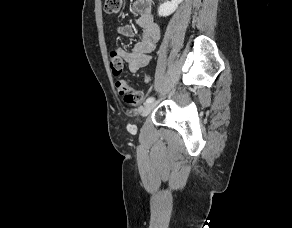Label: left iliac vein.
Here are the masks:
<instances>
[{
    "label": "left iliac vein",
    "instance_id": "4c4485c4",
    "mask_svg": "<svg viewBox=\"0 0 292 228\" xmlns=\"http://www.w3.org/2000/svg\"><path fill=\"white\" fill-rule=\"evenodd\" d=\"M156 107V102L146 103L141 109V115L143 117L147 116Z\"/></svg>",
    "mask_w": 292,
    "mask_h": 228
}]
</instances>
